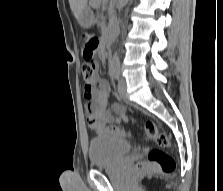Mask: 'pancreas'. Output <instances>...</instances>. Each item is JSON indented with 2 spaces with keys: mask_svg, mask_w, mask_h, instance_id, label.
I'll return each mask as SVG.
<instances>
[{
  "mask_svg": "<svg viewBox=\"0 0 223 191\" xmlns=\"http://www.w3.org/2000/svg\"><path fill=\"white\" fill-rule=\"evenodd\" d=\"M106 2L107 0H91L90 5L94 8H99L101 3L105 4Z\"/></svg>",
  "mask_w": 223,
  "mask_h": 191,
  "instance_id": "1",
  "label": "pancreas"
}]
</instances>
